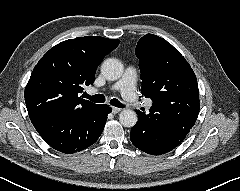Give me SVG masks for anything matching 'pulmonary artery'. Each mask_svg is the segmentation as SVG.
<instances>
[{
	"label": "pulmonary artery",
	"mask_w": 240,
	"mask_h": 191,
	"mask_svg": "<svg viewBox=\"0 0 240 191\" xmlns=\"http://www.w3.org/2000/svg\"><path fill=\"white\" fill-rule=\"evenodd\" d=\"M136 82H137L136 70L132 67H128L125 70L123 77L113 85L112 89L120 91L121 96L127 102L134 103L137 100ZM151 105H152L151 100L147 99L144 101L145 107L149 108L151 107Z\"/></svg>",
	"instance_id": "1"
}]
</instances>
